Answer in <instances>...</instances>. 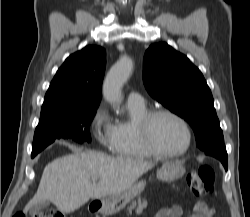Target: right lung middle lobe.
<instances>
[{
  "label": "right lung middle lobe",
  "mask_w": 250,
  "mask_h": 217,
  "mask_svg": "<svg viewBox=\"0 0 250 217\" xmlns=\"http://www.w3.org/2000/svg\"><path fill=\"white\" fill-rule=\"evenodd\" d=\"M97 108L71 109L40 116L34 133L31 157H35L56 139L71 138L80 143L90 142L89 126Z\"/></svg>",
  "instance_id": "obj_1"
}]
</instances>
